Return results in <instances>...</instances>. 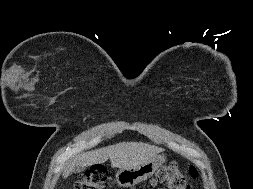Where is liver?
Masks as SVG:
<instances>
[{"label":"liver","instance_id":"6515ba94","mask_svg":"<svg viewBox=\"0 0 253 189\" xmlns=\"http://www.w3.org/2000/svg\"><path fill=\"white\" fill-rule=\"evenodd\" d=\"M162 151L161 148L142 142H120L75 156L63 172L67 178L74 172L76 166L87 167L101 164L108 159L116 168H134L154 158Z\"/></svg>","mask_w":253,"mask_h":189}]
</instances>
